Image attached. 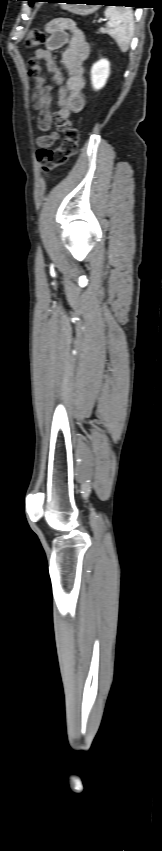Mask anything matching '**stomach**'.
Listing matches in <instances>:
<instances>
[{
  "mask_svg": "<svg viewBox=\"0 0 162 851\" xmlns=\"http://www.w3.org/2000/svg\"><path fill=\"white\" fill-rule=\"evenodd\" d=\"M57 2H65L60 4L63 9L79 15H88L98 9L99 6L94 4H97L100 0H63Z\"/></svg>",
  "mask_w": 162,
  "mask_h": 851,
  "instance_id": "stomach-1",
  "label": "stomach"
}]
</instances>
